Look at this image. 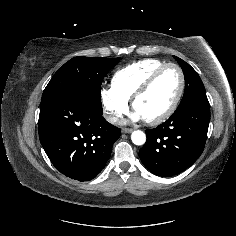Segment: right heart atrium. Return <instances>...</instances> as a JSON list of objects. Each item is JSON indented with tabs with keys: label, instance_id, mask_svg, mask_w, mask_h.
Masks as SVG:
<instances>
[{
	"label": "right heart atrium",
	"instance_id": "d8ad5b80",
	"mask_svg": "<svg viewBox=\"0 0 236 236\" xmlns=\"http://www.w3.org/2000/svg\"><path fill=\"white\" fill-rule=\"evenodd\" d=\"M104 112L110 121H116L129 109V100L122 96L112 85L100 90Z\"/></svg>",
	"mask_w": 236,
	"mask_h": 236
}]
</instances>
